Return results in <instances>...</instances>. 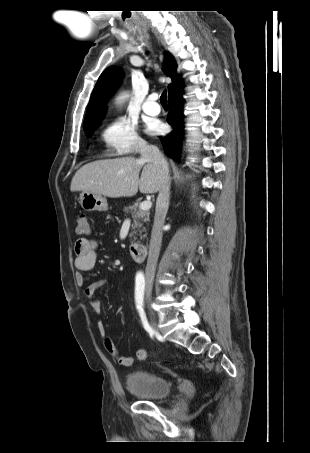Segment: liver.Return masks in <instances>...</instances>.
Instances as JSON below:
<instances>
[{
	"instance_id": "1",
	"label": "liver",
	"mask_w": 310,
	"mask_h": 453,
	"mask_svg": "<svg viewBox=\"0 0 310 453\" xmlns=\"http://www.w3.org/2000/svg\"><path fill=\"white\" fill-rule=\"evenodd\" d=\"M162 177L161 168L134 157L97 160L85 164L75 173L70 190L110 198L132 197L138 190L143 194H154L161 188Z\"/></svg>"
}]
</instances>
